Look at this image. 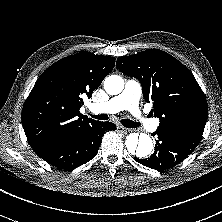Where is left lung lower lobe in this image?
Here are the masks:
<instances>
[{
  "mask_svg": "<svg viewBox=\"0 0 222 222\" xmlns=\"http://www.w3.org/2000/svg\"><path fill=\"white\" fill-rule=\"evenodd\" d=\"M204 129L182 124L159 123L154 153L146 159L134 158L149 168L165 171L182 162L198 146Z\"/></svg>",
  "mask_w": 222,
  "mask_h": 222,
  "instance_id": "0a47b994",
  "label": "left lung lower lobe"
}]
</instances>
